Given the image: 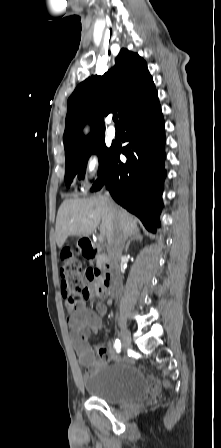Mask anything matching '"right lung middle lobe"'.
Here are the masks:
<instances>
[{
	"label": "right lung middle lobe",
	"instance_id": "right-lung-middle-lobe-1",
	"mask_svg": "<svg viewBox=\"0 0 221 448\" xmlns=\"http://www.w3.org/2000/svg\"><path fill=\"white\" fill-rule=\"evenodd\" d=\"M112 150L113 145L107 148L103 138H99L92 141L78 154L67 157L65 163L66 185L70 186L75 175H78L79 179L84 177L87 161L92 153L99 155V174L103 173Z\"/></svg>",
	"mask_w": 221,
	"mask_h": 448
}]
</instances>
